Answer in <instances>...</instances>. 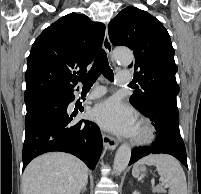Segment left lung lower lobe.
<instances>
[{
    "mask_svg": "<svg viewBox=\"0 0 201 194\" xmlns=\"http://www.w3.org/2000/svg\"><path fill=\"white\" fill-rule=\"evenodd\" d=\"M141 113L152 120L157 140L150 147L134 148L129 165L149 154L165 153L174 156L187 167L186 149L179 130L177 104L158 100Z\"/></svg>",
    "mask_w": 201,
    "mask_h": 194,
    "instance_id": "left-lung-lower-lobe-1",
    "label": "left lung lower lobe"
}]
</instances>
